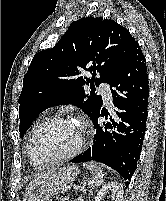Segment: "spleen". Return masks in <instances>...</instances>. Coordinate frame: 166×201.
<instances>
[{
  "label": "spleen",
  "instance_id": "1",
  "mask_svg": "<svg viewBox=\"0 0 166 201\" xmlns=\"http://www.w3.org/2000/svg\"><path fill=\"white\" fill-rule=\"evenodd\" d=\"M86 167L94 172L93 180L89 183L90 187H99L103 183V171L101 168L94 162L89 163ZM82 201V200H81Z\"/></svg>",
  "mask_w": 166,
  "mask_h": 201
}]
</instances>
